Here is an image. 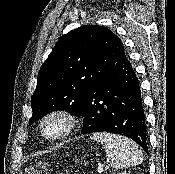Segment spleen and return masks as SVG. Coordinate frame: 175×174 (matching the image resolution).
Returning a JSON list of instances; mask_svg holds the SVG:
<instances>
[{
	"instance_id": "obj_1",
	"label": "spleen",
	"mask_w": 175,
	"mask_h": 174,
	"mask_svg": "<svg viewBox=\"0 0 175 174\" xmlns=\"http://www.w3.org/2000/svg\"><path fill=\"white\" fill-rule=\"evenodd\" d=\"M91 139L104 145L111 166L123 169L139 165L143 161L142 152L130 139L106 132L93 133Z\"/></svg>"
}]
</instances>
